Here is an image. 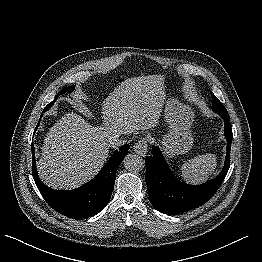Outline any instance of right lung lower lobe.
Masks as SVG:
<instances>
[{
	"instance_id": "obj_1",
	"label": "right lung lower lobe",
	"mask_w": 262,
	"mask_h": 262,
	"mask_svg": "<svg viewBox=\"0 0 262 262\" xmlns=\"http://www.w3.org/2000/svg\"><path fill=\"white\" fill-rule=\"evenodd\" d=\"M47 108L43 113L49 109ZM39 123L40 120L36 129ZM129 148L128 144H124L116 150L101 171L85 185L74 190H54L43 184L38 176L32 144L33 178L43 198L55 211L73 219L91 217L98 214L110 201L117 169Z\"/></svg>"
}]
</instances>
